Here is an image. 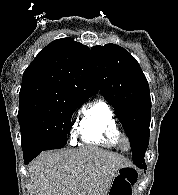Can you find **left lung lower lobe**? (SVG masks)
I'll use <instances>...</instances> for the list:
<instances>
[{
	"label": "left lung lower lobe",
	"mask_w": 178,
	"mask_h": 195,
	"mask_svg": "<svg viewBox=\"0 0 178 195\" xmlns=\"http://www.w3.org/2000/svg\"><path fill=\"white\" fill-rule=\"evenodd\" d=\"M139 168H141V169H146V166H144V167H139Z\"/></svg>",
	"instance_id": "left-lung-lower-lobe-1"
}]
</instances>
